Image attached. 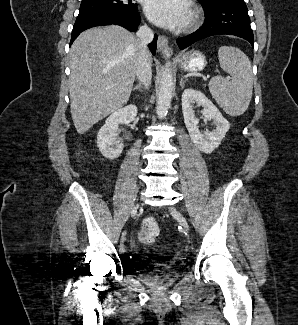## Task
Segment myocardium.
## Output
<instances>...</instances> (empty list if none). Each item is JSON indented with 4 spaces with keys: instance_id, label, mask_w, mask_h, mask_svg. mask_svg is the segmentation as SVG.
I'll return each mask as SVG.
<instances>
[{
    "instance_id": "f54148a6",
    "label": "myocardium",
    "mask_w": 298,
    "mask_h": 325,
    "mask_svg": "<svg viewBox=\"0 0 298 325\" xmlns=\"http://www.w3.org/2000/svg\"><path fill=\"white\" fill-rule=\"evenodd\" d=\"M196 24V14L192 8L189 11V19L187 22V28H192Z\"/></svg>"
}]
</instances>
